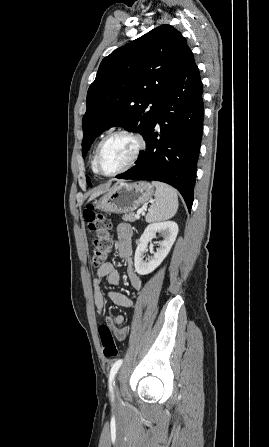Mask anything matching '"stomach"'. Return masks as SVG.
Masks as SVG:
<instances>
[{"label": "stomach", "mask_w": 269, "mask_h": 447, "mask_svg": "<svg viewBox=\"0 0 269 447\" xmlns=\"http://www.w3.org/2000/svg\"><path fill=\"white\" fill-rule=\"evenodd\" d=\"M153 188L148 182L136 184H120L114 186L108 194L96 200L95 208L112 214H127L133 212L140 204H145L153 196Z\"/></svg>", "instance_id": "0dacf381"}]
</instances>
